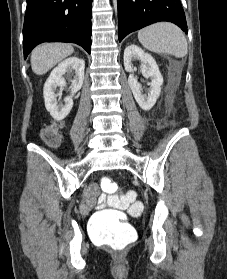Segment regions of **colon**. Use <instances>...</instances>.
Returning <instances> with one entry per match:
<instances>
[{"label": "colon", "instance_id": "obj_1", "mask_svg": "<svg viewBox=\"0 0 227 279\" xmlns=\"http://www.w3.org/2000/svg\"><path fill=\"white\" fill-rule=\"evenodd\" d=\"M42 140L50 147H55L60 142V133L57 128L49 127L42 132ZM119 183L116 180L103 178L101 188L104 195L115 198L108 191L117 189ZM132 192L128 191L127 196L131 197ZM90 233L96 242H105L110 239L131 242L136 238L135 229L125 220L123 212L106 208L96 211L90 221Z\"/></svg>", "mask_w": 227, "mask_h": 279}]
</instances>
